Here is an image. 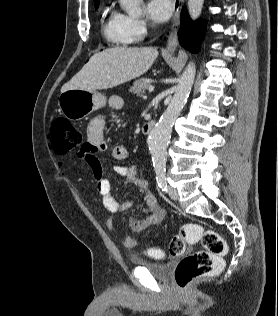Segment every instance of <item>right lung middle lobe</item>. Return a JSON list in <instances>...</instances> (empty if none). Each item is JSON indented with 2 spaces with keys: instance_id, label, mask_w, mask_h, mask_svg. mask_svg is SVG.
<instances>
[{
  "instance_id": "1",
  "label": "right lung middle lobe",
  "mask_w": 278,
  "mask_h": 316,
  "mask_svg": "<svg viewBox=\"0 0 278 316\" xmlns=\"http://www.w3.org/2000/svg\"><path fill=\"white\" fill-rule=\"evenodd\" d=\"M94 5H95V7L97 8V7H98V5H99V1H98V2H96V3H94Z\"/></svg>"
}]
</instances>
